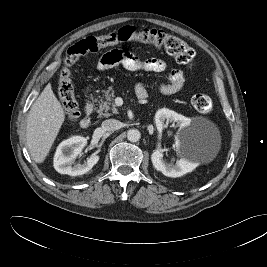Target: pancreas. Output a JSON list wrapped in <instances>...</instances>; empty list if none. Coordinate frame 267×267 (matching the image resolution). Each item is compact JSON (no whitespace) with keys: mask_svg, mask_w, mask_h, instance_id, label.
<instances>
[{"mask_svg":"<svg viewBox=\"0 0 267 267\" xmlns=\"http://www.w3.org/2000/svg\"><path fill=\"white\" fill-rule=\"evenodd\" d=\"M115 98V91L109 87L108 90L103 92V96H99V100L95 99L94 101L97 102V113L99 116L109 117L113 114H117L118 110L116 105L114 104Z\"/></svg>","mask_w":267,"mask_h":267,"instance_id":"1","label":"pancreas"}]
</instances>
